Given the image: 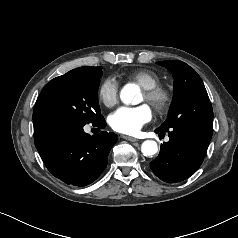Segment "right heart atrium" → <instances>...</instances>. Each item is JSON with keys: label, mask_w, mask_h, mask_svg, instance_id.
<instances>
[{"label": "right heart atrium", "mask_w": 238, "mask_h": 238, "mask_svg": "<svg viewBox=\"0 0 238 238\" xmlns=\"http://www.w3.org/2000/svg\"><path fill=\"white\" fill-rule=\"evenodd\" d=\"M118 82L115 78L104 79L98 88V98L106 106L112 107L118 102Z\"/></svg>", "instance_id": "d8ad5b80"}]
</instances>
